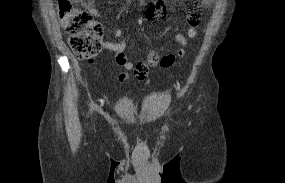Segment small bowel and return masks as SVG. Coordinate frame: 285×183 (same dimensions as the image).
<instances>
[{"label":"small bowel","mask_w":285,"mask_h":183,"mask_svg":"<svg viewBox=\"0 0 285 183\" xmlns=\"http://www.w3.org/2000/svg\"><path fill=\"white\" fill-rule=\"evenodd\" d=\"M213 0H198L199 5L203 8H208ZM81 5L89 11L94 17H99L100 12L96 8L93 0H78ZM166 15L165 8L161 3H156L151 6L145 16L146 20L163 19ZM200 21L199 12L194 9L187 15L188 29L186 34H177L175 36V43L177 49L174 53H170L164 56H160L155 50L148 49L147 55L144 60L135 64L126 54V41L120 39L118 42H104L105 49L114 53L115 62L126 70L135 69L137 66H143L146 70L144 80L148 75L149 68L156 67H168L172 65L177 58H182L185 55V49L188 45V39H193L198 35V27ZM117 37H121L123 32L121 29L114 31ZM129 77L128 73H122L119 75L120 80H126Z\"/></svg>","instance_id":"1"}]
</instances>
